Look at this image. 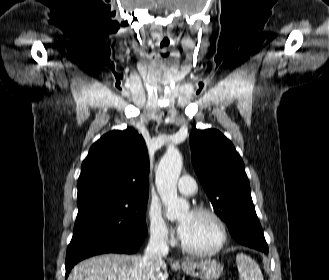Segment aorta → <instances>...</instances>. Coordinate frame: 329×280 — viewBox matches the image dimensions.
Masks as SVG:
<instances>
[{
  "label": "aorta",
  "mask_w": 329,
  "mask_h": 280,
  "mask_svg": "<svg viewBox=\"0 0 329 280\" xmlns=\"http://www.w3.org/2000/svg\"><path fill=\"white\" fill-rule=\"evenodd\" d=\"M182 166L181 154L172 147L166 151L156 170L155 184L166 208L168 219L179 218L189 210L188 202L177 195V181Z\"/></svg>",
  "instance_id": "obj_1"
}]
</instances>
